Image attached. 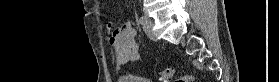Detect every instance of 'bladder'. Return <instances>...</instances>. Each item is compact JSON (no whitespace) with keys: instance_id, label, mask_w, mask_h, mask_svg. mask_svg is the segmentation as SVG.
<instances>
[{"instance_id":"bladder-1","label":"bladder","mask_w":279,"mask_h":82,"mask_svg":"<svg viewBox=\"0 0 279 82\" xmlns=\"http://www.w3.org/2000/svg\"><path fill=\"white\" fill-rule=\"evenodd\" d=\"M119 82H151V81L140 76L125 74L120 77Z\"/></svg>"}]
</instances>
